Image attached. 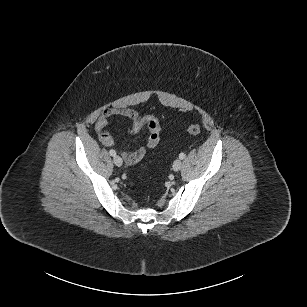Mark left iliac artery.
I'll return each instance as SVG.
<instances>
[{"label":"left iliac artery","instance_id":"left-iliac-artery-1","mask_svg":"<svg viewBox=\"0 0 307 307\" xmlns=\"http://www.w3.org/2000/svg\"><path fill=\"white\" fill-rule=\"evenodd\" d=\"M185 156H186V155H185V153H183V152L179 154V158H180V159H184Z\"/></svg>","mask_w":307,"mask_h":307}]
</instances>
